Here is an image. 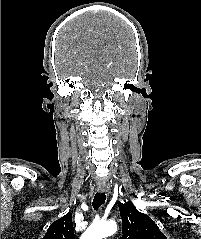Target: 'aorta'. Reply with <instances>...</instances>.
Here are the masks:
<instances>
[{
	"mask_svg": "<svg viewBox=\"0 0 201 239\" xmlns=\"http://www.w3.org/2000/svg\"><path fill=\"white\" fill-rule=\"evenodd\" d=\"M117 224L113 221L92 224L81 236V239H102L115 234Z\"/></svg>",
	"mask_w": 201,
	"mask_h": 239,
	"instance_id": "obj_1",
	"label": "aorta"
}]
</instances>
